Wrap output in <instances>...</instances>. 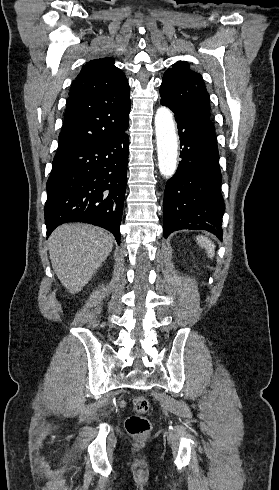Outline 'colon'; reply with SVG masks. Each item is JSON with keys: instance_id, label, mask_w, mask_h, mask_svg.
I'll return each mask as SVG.
<instances>
[{"instance_id": "obj_1", "label": "colon", "mask_w": 279, "mask_h": 490, "mask_svg": "<svg viewBox=\"0 0 279 490\" xmlns=\"http://www.w3.org/2000/svg\"><path fill=\"white\" fill-rule=\"evenodd\" d=\"M149 408L150 402L145 396H135L132 399L133 413L129 414L125 421L127 433L132 437V442H149L151 425L145 416Z\"/></svg>"}]
</instances>
